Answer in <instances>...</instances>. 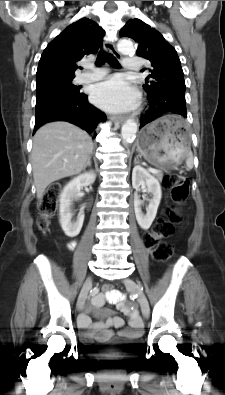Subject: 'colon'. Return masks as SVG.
I'll list each match as a JSON object with an SVG mask.
<instances>
[{"instance_id": "obj_1", "label": "colon", "mask_w": 225, "mask_h": 395, "mask_svg": "<svg viewBox=\"0 0 225 395\" xmlns=\"http://www.w3.org/2000/svg\"><path fill=\"white\" fill-rule=\"evenodd\" d=\"M164 185L169 189L174 206L169 207L165 212V217L159 219L152 230L144 237L145 246L151 251L156 261H166L173 254V245L164 239L170 237L174 232L175 225L181 220L180 208L189 194V180L183 175L170 174L163 179ZM61 191L60 183L51 184L38 205L39 218L38 226L46 231L50 220L57 210V200ZM103 292H112V285H103Z\"/></svg>"}]
</instances>
